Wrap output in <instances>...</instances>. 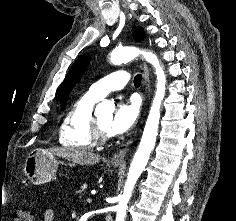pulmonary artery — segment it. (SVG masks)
<instances>
[{"mask_svg":"<svg viewBox=\"0 0 236 221\" xmlns=\"http://www.w3.org/2000/svg\"><path fill=\"white\" fill-rule=\"evenodd\" d=\"M130 75L125 70L115 71L94 83L88 90L87 94L96 100H101L108 93L121 90L125 87Z\"/></svg>","mask_w":236,"mask_h":221,"instance_id":"1","label":"pulmonary artery"}]
</instances>
